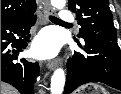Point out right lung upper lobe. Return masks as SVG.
Here are the masks:
<instances>
[{"label":"right lung upper lobe","instance_id":"right-lung-upper-lobe-1","mask_svg":"<svg viewBox=\"0 0 121 94\" xmlns=\"http://www.w3.org/2000/svg\"><path fill=\"white\" fill-rule=\"evenodd\" d=\"M35 8V0H1V21L24 15Z\"/></svg>","mask_w":121,"mask_h":94}]
</instances>
